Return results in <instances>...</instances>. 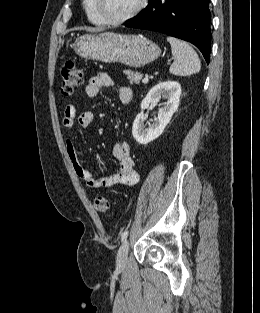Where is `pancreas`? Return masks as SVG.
<instances>
[{
	"mask_svg": "<svg viewBox=\"0 0 260 313\" xmlns=\"http://www.w3.org/2000/svg\"><path fill=\"white\" fill-rule=\"evenodd\" d=\"M125 75L127 76L128 80L130 81V84H139L140 80L142 78V74L138 72H133L130 70H125L124 71Z\"/></svg>",
	"mask_w": 260,
	"mask_h": 313,
	"instance_id": "1",
	"label": "pancreas"
}]
</instances>
